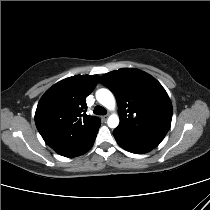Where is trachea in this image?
I'll return each instance as SVG.
<instances>
[{"label":"trachea","instance_id":"1","mask_svg":"<svg viewBox=\"0 0 210 210\" xmlns=\"http://www.w3.org/2000/svg\"><path fill=\"white\" fill-rule=\"evenodd\" d=\"M94 113H95L96 115H105V114L107 113V111H106V109L103 108L102 106H96V107L94 108Z\"/></svg>","mask_w":210,"mask_h":210}]
</instances>
